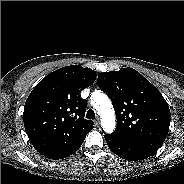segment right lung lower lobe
Masks as SVG:
<instances>
[{"label": "right lung lower lobe", "mask_w": 184, "mask_h": 184, "mask_svg": "<svg viewBox=\"0 0 184 184\" xmlns=\"http://www.w3.org/2000/svg\"><path fill=\"white\" fill-rule=\"evenodd\" d=\"M80 146L81 145H78L77 147H74V148L54 152V153H51L49 155H45V157L50 158V159H62V158H65L67 156H70L71 154L76 152L80 148Z\"/></svg>", "instance_id": "1"}]
</instances>
